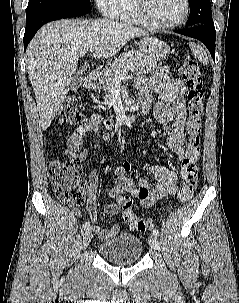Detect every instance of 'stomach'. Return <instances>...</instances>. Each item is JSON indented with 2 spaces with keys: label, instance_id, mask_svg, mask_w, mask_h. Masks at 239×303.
Listing matches in <instances>:
<instances>
[{
  "label": "stomach",
  "instance_id": "1",
  "mask_svg": "<svg viewBox=\"0 0 239 303\" xmlns=\"http://www.w3.org/2000/svg\"><path fill=\"white\" fill-rule=\"evenodd\" d=\"M139 52L152 61H162L166 59L170 53V47L156 37L146 36L138 42Z\"/></svg>",
  "mask_w": 239,
  "mask_h": 303
}]
</instances>
